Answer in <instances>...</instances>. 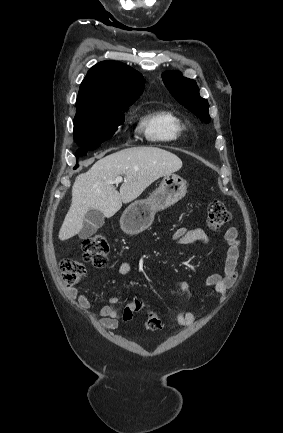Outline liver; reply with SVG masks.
I'll return each instance as SVG.
<instances>
[{
    "label": "liver",
    "instance_id": "obj_1",
    "mask_svg": "<svg viewBox=\"0 0 283 433\" xmlns=\"http://www.w3.org/2000/svg\"><path fill=\"white\" fill-rule=\"evenodd\" d=\"M181 166L179 156L157 146H132L100 158L90 170L75 178L71 206L58 235L60 241L71 239L81 231L89 208H98L109 219L122 202H131L151 182L176 172ZM120 174L126 178L118 192L112 180Z\"/></svg>",
    "mask_w": 283,
    "mask_h": 433
}]
</instances>
